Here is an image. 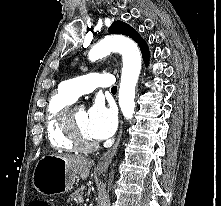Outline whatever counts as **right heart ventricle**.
Masks as SVG:
<instances>
[{"mask_svg": "<svg viewBox=\"0 0 221 206\" xmlns=\"http://www.w3.org/2000/svg\"><path fill=\"white\" fill-rule=\"evenodd\" d=\"M74 101L62 87L50 98L46 111V133L54 149L67 152L76 150L64 124L65 111Z\"/></svg>", "mask_w": 221, "mask_h": 206, "instance_id": "obj_1", "label": "right heart ventricle"}]
</instances>
